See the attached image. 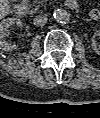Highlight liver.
<instances>
[{
  "label": "liver",
  "instance_id": "liver-1",
  "mask_svg": "<svg viewBox=\"0 0 100 118\" xmlns=\"http://www.w3.org/2000/svg\"><path fill=\"white\" fill-rule=\"evenodd\" d=\"M9 11V6L6 0H1V12L2 14H7Z\"/></svg>",
  "mask_w": 100,
  "mask_h": 118
}]
</instances>
